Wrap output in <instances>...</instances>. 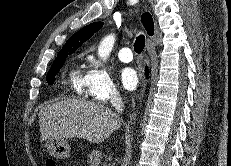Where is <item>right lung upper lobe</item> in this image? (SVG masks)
<instances>
[{"instance_id":"cb5924a9","label":"right lung upper lobe","mask_w":231,"mask_h":166,"mask_svg":"<svg viewBox=\"0 0 231 166\" xmlns=\"http://www.w3.org/2000/svg\"><path fill=\"white\" fill-rule=\"evenodd\" d=\"M142 22L147 33L152 36L154 33V23L152 16L147 13L142 15ZM103 26V22H94L79 30L73 34L65 43L63 48L59 51L58 55L71 54L76 51L85 41L93 36L95 32L100 30ZM57 55V56H58Z\"/></svg>"}]
</instances>
